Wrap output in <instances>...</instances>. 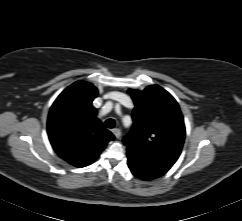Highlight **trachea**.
<instances>
[{
  "label": "trachea",
  "instance_id": "3493384b",
  "mask_svg": "<svg viewBox=\"0 0 242 221\" xmlns=\"http://www.w3.org/2000/svg\"><path fill=\"white\" fill-rule=\"evenodd\" d=\"M115 120L114 119H107L106 121H105V126L107 127V128H110V129H112V128H114L115 127Z\"/></svg>",
  "mask_w": 242,
  "mask_h": 221
}]
</instances>
